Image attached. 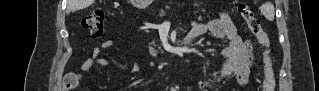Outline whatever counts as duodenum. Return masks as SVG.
I'll return each instance as SVG.
<instances>
[{
    "label": "duodenum",
    "mask_w": 319,
    "mask_h": 91,
    "mask_svg": "<svg viewBox=\"0 0 319 91\" xmlns=\"http://www.w3.org/2000/svg\"><path fill=\"white\" fill-rule=\"evenodd\" d=\"M195 37H188L184 42H183V46H188L190 45Z\"/></svg>",
    "instance_id": "410a0bca"
}]
</instances>
